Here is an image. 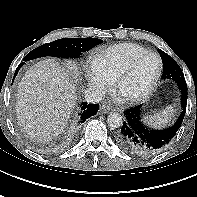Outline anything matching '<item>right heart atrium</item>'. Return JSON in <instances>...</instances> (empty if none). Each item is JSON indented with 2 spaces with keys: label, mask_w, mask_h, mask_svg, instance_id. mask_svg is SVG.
<instances>
[{
  "label": "right heart atrium",
  "mask_w": 197,
  "mask_h": 197,
  "mask_svg": "<svg viewBox=\"0 0 197 197\" xmlns=\"http://www.w3.org/2000/svg\"><path fill=\"white\" fill-rule=\"evenodd\" d=\"M88 85L98 95L106 93L111 87V80L93 67L87 72Z\"/></svg>",
  "instance_id": "1"
}]
</instances>
